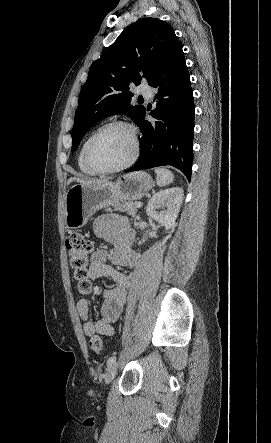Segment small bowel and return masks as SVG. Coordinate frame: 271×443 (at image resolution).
I'll return each mask as SVG.
<instances>
[{"label":"small bowel","mask_w":271,"mask_h":443,"mask_svg":"<svg viewBox=\"0 0 271 443\" xmlns=\"http://www.w3.org/2000/svg\"><path fill=\"white\" fill-rule=\"evenodd\" d=\"M96 237L109 241L114 247L112 261L117 266L132 267L136 264L138 256L132 249L134 234L128 224L119 216L103 215L97 218L93 225ZM107 250L100 248L92 256L89 268L91 279L110 278L114 286L103 292L105 297L101 309V317L97 321L89 318L90 302L81 299L77 303V311L82 319L84 334L88 337L93 335L112 336L113 324L119 318L126 302L129 279L127 275L116 271L106 264Z\"/></svg>","instance_id":"small-bowel-1"}]
</instances>
